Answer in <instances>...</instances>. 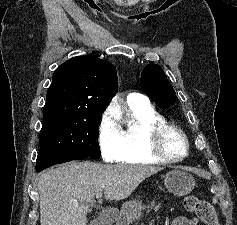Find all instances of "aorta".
I'll return each instance as SVG.
<instances>
[{
    "label": "aorta",
    "mask_w": 237,
    "mask_h": 225,
    "mask_svg": "<svg viewBox=\"0 0 237 225\" xmlns=\"http://www.w3.org/2000/svg\"><path fill=\"white\" fill-rule=\"evenodd\" d=\"M107 111L111 116H113L115 119H120L122 116L121 110L119 106L117 105L116 99H112Z\"/></svg>",
    "instance_id": "1"
}]
</instances>
